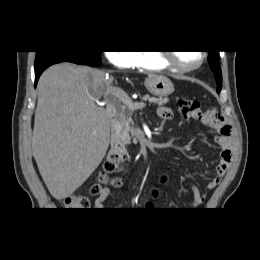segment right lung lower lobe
<instances>
[{
  "label": "right lung lower lobe",
  "instance_id": "1",
  "mask_svg": "<svg viewBox=\"0 0 260 260\" xmlns=\"http://www.w3.org/2000/svg\"><path fill=\"white\" fill-rule=\"evenodd\" d=\"M60 62H72L95 67L101 64V58L100 56L77 52L55 53L35 65V85L37 84L40 75L47 67Z\"/></svg>",
  "mask_w": 260,
  "mask_h": 260
}]
</instances>
